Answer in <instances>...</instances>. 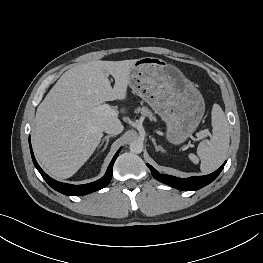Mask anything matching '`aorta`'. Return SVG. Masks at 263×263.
Returning a JSON list of instances; mask_svg holds the SVG:
<instances>
[{
    "mask_svg": "<svg viewBox=\"0 0 263 263\" xmlns=\"http://www.w3.org/2000/svg\"><path fill=\"white\" fill-rule=\"evenodd\" d=\"M130 151L139 154L143 151V143L141 141H133L129 145Z\"/></svg>",
    "mask_w": 263,
    "mask_h": 263,
    "instance_id": "obj_1",
    "label": "aorta"
}]
</instances>
